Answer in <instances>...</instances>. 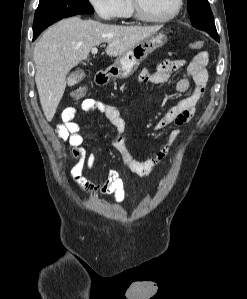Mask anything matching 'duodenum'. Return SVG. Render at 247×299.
<instances>
[{
  "instance_id": "410a0bca",
  "label": "duodenum",
  "mask_w": 247,
  "mask_h": 299,
  "mask_svg": "<svg viewBox=\"0 0 247 299\" xmlns=\"http://www.w3.org/2000/svg\"><path fill=\"white\" fill-rule=\"evenodd\" d=\"M111 73V69L108 68L100 73H98L97 77H96V80L98 83H104L106 82L109 74Z\"/></svg>"
}]
</instances>
